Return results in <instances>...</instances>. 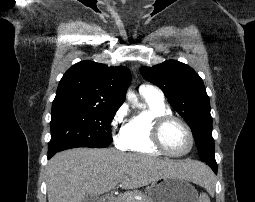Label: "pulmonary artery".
<instances>
[{
    "mask_svg": "<svg viewBox=\"0 0 255 202\" xmlns=\"http://www.w3.org/2000/svg\"><path fill=\"white\" fill-rule=\"evenodd\" d=\"M139 92L143 97H149L160 101H163L164 99L163 93L155 86L149 84L141 85Z\"/></svg>",
    "mask_w": 255,
    "mask_h": 202,
    "instance_id": "1",
    "label": "pulmonary artery"
}]
</instances>
